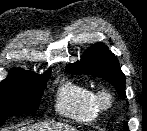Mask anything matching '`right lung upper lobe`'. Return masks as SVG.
Listing matches in <instances>:
<instances>
[{
	"label": "right lung upper lobe",
	"instance_id": "obj_1",
	"mask_svg": "<svg viewBox=\"0 0 147 131\" xmlns=\"http://www.w3.org/2000/svg\"><path fill=\"white\" fill-rule=\"evenodd\" d=\"M31 75H38V74L30 72V71H25L23 69H13L8 76H31Z\"/></svg>",
	"mask_w": 147,
	"mask_h": 131
}]
</instances>
